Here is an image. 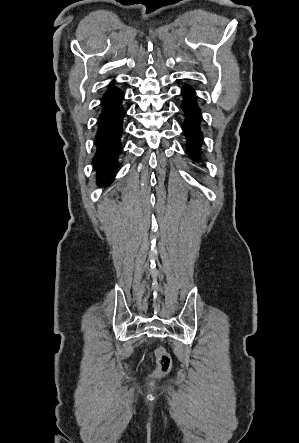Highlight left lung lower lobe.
Instances as JSON below:
<instances>
[{"label": "left lung lower lobe", "mask_w": 299, "mask_h": 443, "mask_svg": "<svg viewBox=\"0 0 299 443\" xmlns=\"http://www.w3.org/2000/svg\"><path fill=\"white\" fill-rule=\"evenodd\" d=\"M196 92L189 86L182 90L183 103L181 108L184 111L185 124L184 131L189 139L188 153L193 161H198L202 155L201 143L202 132L200 129L201 114L196 103Z\"/></svg>", "instance_id": "obj_1"}]
</instances>
